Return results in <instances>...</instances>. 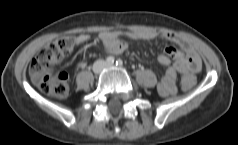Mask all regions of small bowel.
Masks as SVG:
<instances>
[{"label":"small bowel","instance_id":"1","mask_svg":"<svg viewBox=\"0 0 238 145\" xmlns=\"http://www.w3.org/2000/svg\"><path fill=\"white\" fill-rule=\"evenodd\" d=\"M124 38L136 41H152L157 39H166L179 46L176 50L173 47H167L165 54L158 56V62L166 67V71L158 83V92L162 96L173 95L177 92L176 79L178 74L183 75L182 81L190 80V84L184 88L189 89L195 83L194 73L201 69V60L196 54L191 43L173 32H153V31H104L99 35L106 49L111 53H122L127 48ZM91 37L89 34L81 33L74 37V41L83 49ZM170 57L173 59L171 64ZM87 57L83 55L77 66L83 68L86 65Z\"/></svg>","mask_w":238,"mask_h":145}]
</instances>
